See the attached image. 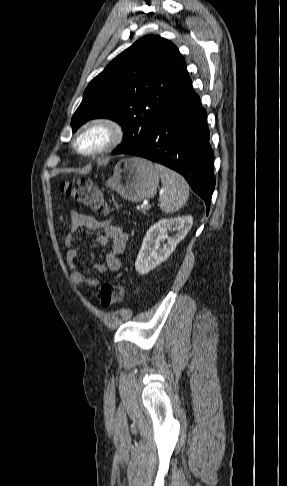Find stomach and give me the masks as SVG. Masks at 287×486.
I'll use <instances>...</instances> for the list:
<instances>
[{"label": "stomach", "mask_w": 287, "mask_h": 486, "mask_svg": "<svg viewBox=\"0 0 287 486\" xmlns=\"http://www.w3.org/2000/svg\"><path fill=\"white\" fill-rule=\"evenodd\" d=\"M159 176L152 162L140 157H129L116 164L106 186L126 200L140 202L154 197Z\"/></svg>", "instance_id": "0dacf381"}]
</instances>
